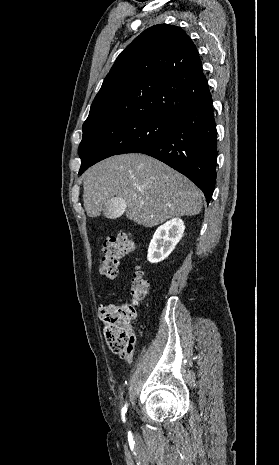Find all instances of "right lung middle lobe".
I'll use <instances>...</instances> for the list:
<instances>
[{"mask_svg":"<svg viewBox=\"0 0 279 465\" xmlns=\"http://www.w3.org/2000/svg\"><path fill=\"white\" fill-rule=\"evenodd\" d=\"M173 119L157 116L132 117L83 130L79 146V174L112 155L139 152L163 137Z\"/></svg>","mask_w":279,"mask_h":465,"instance_id":"dd1d6c3e","label":"right lung middle lobe"}]
</instances>
